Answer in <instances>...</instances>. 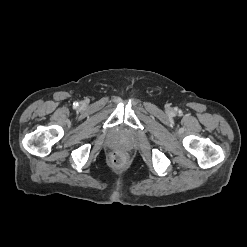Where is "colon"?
<instances>
[{
	"label": "colon",
	"mask_w": 247,
	"mask_h": 247,
	"mask_svg": "<svg viewBox=\"0 0 247 247\" xmlns=\"http://www.w3.org/2000/svg\"><path fill=\"white\" fill-rule=\"evenodd\" d=\"M124 156L120 152H114L111 156V162L116 167H121L124 164Z\"/></svg>",
	"instance_id": "1"
}]
</instances>
